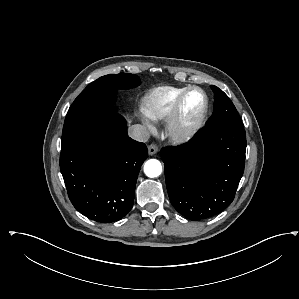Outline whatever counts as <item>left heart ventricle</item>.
<instances>
[{"label": "left heart ventricle", "instance_id": "b2bd125f", "mask_svg": "<svg viewBox=\"0 0 299 299\" xmlns=\"http://www.w3.org/2000/svg\"><path fill=\"white\" fill-rule=\"evenodd\" d=\"M202 107H203L202 95L197 91L191 92L187 96V98L183 104L182 120L184 122H189V121L193 120L194 118H196L198 116Z\"/></svg>", "mask_w": 299, "mask_h": 299}]
</instances>
